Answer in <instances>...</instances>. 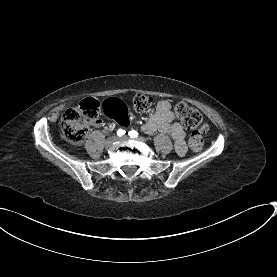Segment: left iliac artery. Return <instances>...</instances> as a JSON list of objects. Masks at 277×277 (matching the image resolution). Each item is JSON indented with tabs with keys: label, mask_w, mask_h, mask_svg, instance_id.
<instances>
[{
	"label": "left iliac artery",
	"mask_w": 277,
	"mask_h": 277,
	"mask_svg": "<svg viewBox=\"0 0 277 277\" xmlns=\"http://www.w3.org/2000/svg\"><path fill=\"white\" fill-rule=\"evenodd\" d=\"M128 135H129L131 138H136V137H138V132L135 131V130H131V131H129Z\"/></svg>",
	"instance_id": "obj_1"
}]
</instances>
